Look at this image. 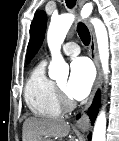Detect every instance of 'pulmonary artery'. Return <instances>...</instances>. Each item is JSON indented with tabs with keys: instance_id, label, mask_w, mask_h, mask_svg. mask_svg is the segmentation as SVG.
<instances>
[{
	"instance_id": "obj_1",
	"label": "pulmonary artery",
	"mask_w": 119,
	"mask_h": 141,
	"mask_svg": "<svg viewBox=\"0 0 119 141\" xmlns=\"http://www.w3.org/2000/svg\"><path fill=\"white\" fill-rule=\"evenodd\" d=\"M62 53L66 56H77L80 53V47L75 42H67L62 47Z\"/></svg>"
}]
</instances>
